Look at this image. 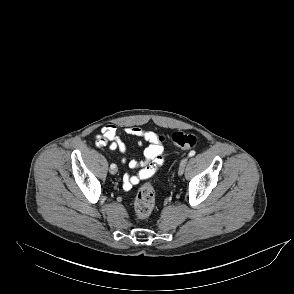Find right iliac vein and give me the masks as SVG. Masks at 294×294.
<instances>
[{
	"label": "right iliac vein",
	"instance_id": "right-iliac-vein-1",
	"mask_svg": "<svg viewBox=\"0 0 294 294\" xmlns=\"http://www.w3.org/2000/svg\"><path fill=\"white\" fill-rule=\"evenodd\" d=\"M109 172H110L112 175H115V174L117 173V167H114V168H111V167H110Z\"/></svg>",
	"mask_w": 294,
	"mask_h": 294
}]
</instances>
